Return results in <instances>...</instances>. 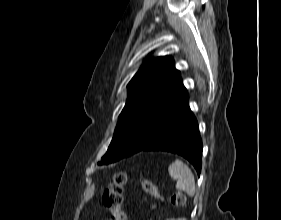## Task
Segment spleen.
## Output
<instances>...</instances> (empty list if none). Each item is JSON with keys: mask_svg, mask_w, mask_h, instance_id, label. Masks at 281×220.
<instances>
[{"mask_svg": "<svg viewBox=\"0 0 281 220\" xmlns=\"http://www.w3.org/2000/svg\"><path fill=\"white\" fill-rule=\"evenodd\" d=\"M169 175L177 181L176 188L193 196L196 191L195 178L191 169L181 160L176 159L169 165Z\"/></svg>", "mask_w": 281, "mask_h": 220, "instance_id": "3e777b00", "label": "spleen"}]
</instances>
